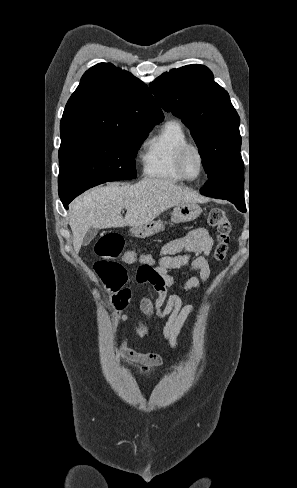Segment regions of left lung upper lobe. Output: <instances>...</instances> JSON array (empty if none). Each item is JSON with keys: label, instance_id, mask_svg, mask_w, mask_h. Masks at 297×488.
<instances>
[{"label": "left lung upper lobe", "instance_id": "left-lung-upper-lobe-1", "mask_svg": "<svg viewBox=\"0 0 297 488\" xmlns=\"http://www.w3.org/2000/svg\"><path fill=\"white\" fill-rule=\"evenodd\" d=\"M149 86L162 108L190 129L208 175L200 193L245 206L240 118L212 72L187 65L163 73Z\"/></svg>", "mask_w": 297, "mask_h": 488}]
</instances>
